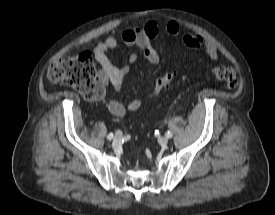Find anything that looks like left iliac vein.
Listing matches in <instances>:
<instances>
[{
    "instance_id": "1",
    "label": "left iliac vein",
    "mask_w": 275,
    "mask_h": 215,
    "mask_svg": "<svg viewBox=\"0 0 275 215\" xmlns=\"http://www.w3.org/2000/svg\"><path fill=\"white\" fill-rule=\"evenodd\" d=\"M158 142L160 145L165 146L168 143V138L167 137H159Z\"/></svg>"
}]
</instances>
